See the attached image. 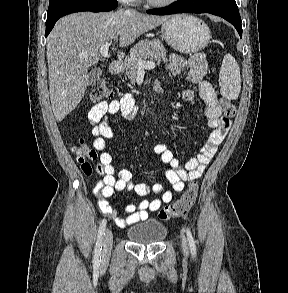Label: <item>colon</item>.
<instances>
[{
    "label": "colon",
    "mask_w": 288,
    "mask_h": 293,
    "mask_svg": "<svg viewBox=\"0 0 288 293\" xmlns=\"http://www.w3.org/2000/svg\"><path fill=\"white\" fill-rule=\"evenodd\" d=\"M112 95V89L104 80L100 79L97 80L93 86L91 100L93 102H99L112 97ZM221 103L224 111V117L227 119L232 118L235 115L234 105L224 99ZM72 151L78 156V160L81 163L83 171L86 174H90L92 171L90 161L96 158L95 150L87 146L83 140H80L76 145L72 146ZM197 192L198 185L196 182L192 181L179 199L160 210L159 217L163 220H169L185 215L195 203Z\"/></svg>",
    "instance_id": "obj_1"
}]
</instances>
